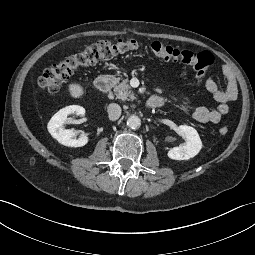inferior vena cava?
<instances>
[{"label":"inferior vena cava","instance_id":"602c4592","mask_svg":"<svg viewBox=\"0 0 255 255\" xmlns=\"http://www.w3.org/2000/svg\"><path fill=\"white\" fill-rule=\"evenodd\" d=\"M108 117L111 121H116L121 115V107L116 103H111L107 107Z\"/></svg>","mask_w":255,"mask_h":255}]
</instances>
